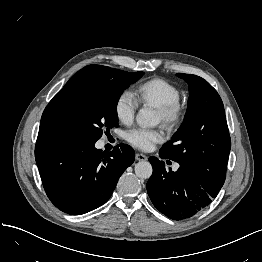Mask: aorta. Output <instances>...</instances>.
<instances>
[{"label":"aorta","mask_w":262,"mask_h":262,"mask_svg":"<svg viewBox=\"0 0 262 262\" xmlns=\"http://www.w3.org/2000/svg\"><path fill=\"white\" fill-rule=\"evenodd\" d=\"M155 112L148 108H142L136 115V122L142 127L154 126L157 124ZM152 165L148 161H140L135 164V174L138 178L148 179L152 175Z\"/></svg>","instance_id":"762f6f07"}]
</instances>
